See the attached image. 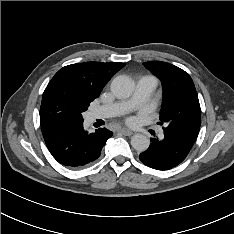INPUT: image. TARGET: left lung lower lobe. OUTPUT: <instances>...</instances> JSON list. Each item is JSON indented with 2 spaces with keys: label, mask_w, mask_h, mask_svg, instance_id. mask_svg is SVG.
Returning <instances> with one entry per match:
<instances>
[{
  "label": "left lung lower lobe",
  "mask_w": 234,
  "mask_h": 234,
  "mask_svg": "<svg viewBox=\"0 0 234 234\" xmlns=\"http://www.w3.org/2000/svg\"><path fill=\"white\" fill-rule=\"evenodd\" d=\"M149 148L139 155L142 163L157 170H168L180 164L192 147L164 132V138H151Z\"/></svg>",
  "instance_id": "left-lung-lower-lobe-1"
}]
</instances>
